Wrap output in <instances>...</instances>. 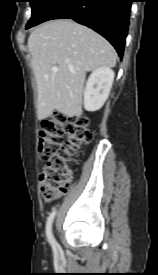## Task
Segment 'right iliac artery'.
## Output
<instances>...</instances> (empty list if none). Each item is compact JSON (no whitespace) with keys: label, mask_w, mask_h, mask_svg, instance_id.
Listing matches in <instances>:
<instances>
[{"label":"right iliac artery","mask_w":158,"mask_h":275,"mask_svg":"<svg viewBox=\"0 0 158 275\" xmlns=\"http://www.w3.org/2000/svg\"><path fill=\"white\" fill-rule=\"evenodd\" d=\"M55 214H56V210L54 209L50 213L49 217L47 218V222H46V236H47V239L53 249H56V247H57V242L52 234V222H53Z\"/></svg>","instance_id":"obj_1"}]
</instances>
